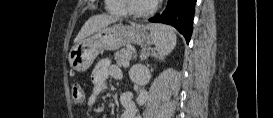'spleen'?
<instances>
[{
    "label": "spleen",
    "instance_id": "obj_1",
    "mask_svg": "<svg viewBox=\"0 0 273 118\" xmlns=\"http://www.w3.org/2000/svg\"><path fill=\"white\" fill-rule=\"evenodd\" d=\"M153 43L161 56L169 54L175 47L177 37L172 27L155 24L150 28Z\"/></svg>",
    "mask_w": 273,
    "mask_h": 118
}]
</instances>
